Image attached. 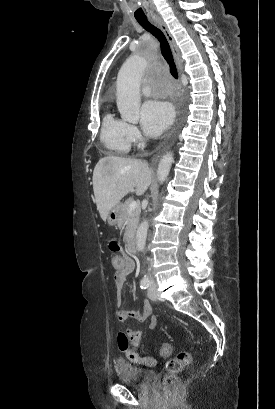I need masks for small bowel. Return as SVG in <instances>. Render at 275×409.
Instances as JSON below:
<instances>
[{"mask_svg":"<svg viewBox=\"0 0 275 409\" xmlns=\"http://www.w3.org/2000/svg\"><path fill=\"white\" fill-rule=\"evenodd\" d=\"M133 269L134 264L132 261H124L123 267L120 268L115 275L116 285L120 286L125 274L131 272ZM115 315L120 322L128 319L146 321V327L150 330L154 329L157 325V318L153 313V306L150 301H145L140 310L127 311L122 307H118L115 311ZM119 330L122 332L124 329L121 327ZM128 332L130 334L119 333L117 335V345L119 346V349L123 351L124 358L126 360H132L134 366H139L140 364L147 366L156 365L157 361L155 359L144 357L141 351H137L131 347L133 344L139 345L141 343L143 337L142 332L136 331L134 326H129ZM149 360H152V363H150Z\"/></svg>","mask_w":275,"mask_h":409,"instance_id":"small-bowel-1","label":"small bowel"}]
</instances>
